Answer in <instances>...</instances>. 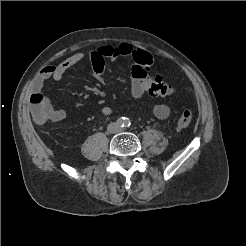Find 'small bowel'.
Masks as SVG:
<instances>
[{
  "instance_id": "c3829d8e",
  "label": "small bowel",
  "mask_w": 246,
  "mask_h": 246,
  "mask_svg": "<svg viewBox=\"0 0 246 246\" xmlns=\"http://www.w3.org/2000/svg\"><path fill=\"white\" fill-rule=\"evenodd\" d=\"M135 48L128 43H122L117 46H102L96 50L89 52H77L57 65H49L44 67L36 76L33 82V94L39 93L42 95L48 104L49 114L47 121L58 122L66 118L67 112L63 109H55L50 100L44 95L42 89L46 81L55 80L59 81L63 78L65 73L72 67L82 62L85 59H89L93 66V73L95 79L102 83L104 81L103 71L106 60H115L120 57L132 58V53ZM154 78L150 77L147 72L139 71L133 64L131 67V93L136 99L141 98L147 93L149 83ZM81 104H78L80 106ZM101 113L105 116H109L114 113V109L109 106H103ZM152 113L159 119H166L170 115V108L166 104L159 103L153 106Z\"/></svg>"
}]
</instances>
